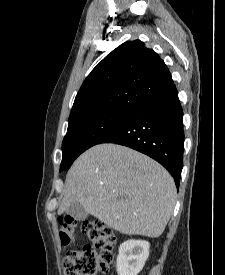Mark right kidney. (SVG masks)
Segmentation results:
<instances>
[{
  "label": "right kidney",
  "mask_w": 225,
  "mask_h": 275,
  "mask_svg": "<svg viewBox=\"0 0 225 275\" xmlns=\"http://www.w3.org/2000/svg\"><path fill=\"white\" fill-rule=\"evenodd\" d=\"M150 244L144 240H127L119 247L117 256L118 275H137L149 256Z\"/></svg>",
  "instance_id": "obj_1"
}]
</instances>
